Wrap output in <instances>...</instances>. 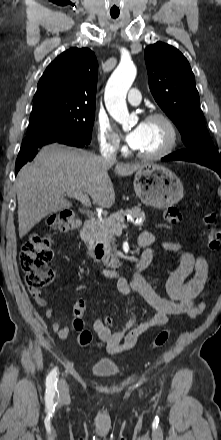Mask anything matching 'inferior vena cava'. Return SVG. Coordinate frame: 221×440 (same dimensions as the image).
Listing matches in <instances>:
<instances>
[{"label":"inferior vena cava","mask_w":221,"mask_h":440,"mask_svg":"<svg viewBox=\"0 0 221 440\" xmlns=\"http://www.w3.org/2000/svg\"><path fill=\"white\" fill-rule=\"evenodd\" d=\"M101 155L103 159L110 163H114L116 161V151L109 149V150H101Z\"/></svg>","instance_id":"1"}]
</instances>
